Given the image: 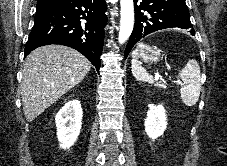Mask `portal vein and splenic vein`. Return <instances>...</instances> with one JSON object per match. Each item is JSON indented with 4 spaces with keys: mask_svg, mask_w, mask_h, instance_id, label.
I'll list each match as a JSON object with an SVG mask.
<instances>
[{
    "mask_svg": "<svg viewBox=\"0 0 227 166\" xmlns=\"http://www.w3.org/2000/svg\"><path fill=\"white\" fill-rule=\"evenodd\" d=\"M160 77H161V76H160L159 74H156V75H155V79H156V80H159ZM176 83H177L178 85H182V83H181L180 81H176Z\"/></svg>",
    "mask_w": 227,
    "mask_h": 166,
    "instance_id": "18ae733b",
    "label": "portal vein and splenic vein"
}]
</instances>
